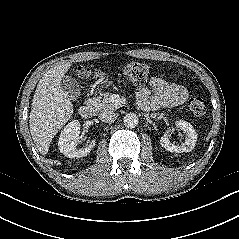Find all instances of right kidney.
I'll return each instance as SVG.
<instances>
[{"instance_id": "1", "label": "right kidney", "mask_w": 239, "mask_h": 239, "mask_svg": "<svg viewBox=\"0 0 239 239\" xmlns=\"http://www.w3.org/2000/svg\"><path fill=\"white\" fill-rule=\"evenodd\" d=\"M80 134V123L78 120L69 122L62 130L58 147L61 153L69 158H80L89 154L95 146V140H92L84 149H77V140Z\"/></svg>"}]
</instances>
